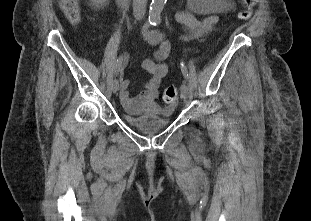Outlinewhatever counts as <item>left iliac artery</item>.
<instances>
[{
  "label": "left iliac artery",
  "mask_w": 311,
  "mask_h": 221,
  "mask_svg": "<svg viewBox=\"0 0 311 221\" xmlns=\"http://www.w3.org/2000/svg\"><path fill=\"white\" fill-rule=\"evenodd\" d=\"M158 24H160V20L159 19L154 21V25H158ZM181 71H182L184 77L187 79L188 78V72H187V68H186V66L184 65L183 62H181Z\"/></svg>",
  "instance_id": "left-iliac-artery-1"
}]
</instances>
